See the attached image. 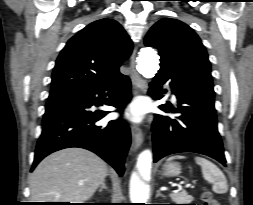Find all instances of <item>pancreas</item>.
<instances>
[{"label": "pancreas", "mask_w": 253, "mask_h": 205, "mask_svg": "<svg viewBox=\"0 0 253 205\" xmlns=\"http://www.w3.org/2000/svg\"><path fill=\"white\" fill-rule=\"evenodd\" d=\"M170 198L177 204H188L193 200V197L189 196L185 191L172 193L170 194Z\"/></svg>", "instance_id": "obj_1"}]
</instances>
